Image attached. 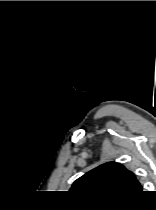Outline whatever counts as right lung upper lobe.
I'll list each match as a JSON object with an SVG mask.
<instances>
[{"mask_svg":"<svg viewBox=\"0 0 156 210\" xmlns=\"http://www.w3.org/2000/svg\"><path fill=\"white\" fill-rule=\"evenodd\" d=\"M70 191L87 198L129 199L141 194L142 186L123 165L108 162L78 178Z\"/></svg>","mask_w":156,"mask_h":210,"instance_id":"cb5924a9","label":"right lung upper lobe"}]
</instances>
